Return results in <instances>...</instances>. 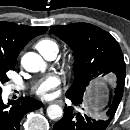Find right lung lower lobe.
I'll list each match as a JSON object with an SVG mask.
<instances>
[{"mask_svg": "<svg viewBox=\"0 0 130 130\" xmlns=\"http://www.w3.org/2000/svg\"><path fill=\"white\" fill-rule=\"evenodd\" d=\"M0 92V130H20V121L23 116L33 110L39 109L42 102L28 96L3 103Z\"/></svg>", "mask_w": 130, "mask_h": 130, "instance_id": "obj_1", "label": "right lung lower lobe"}]
</instances>
